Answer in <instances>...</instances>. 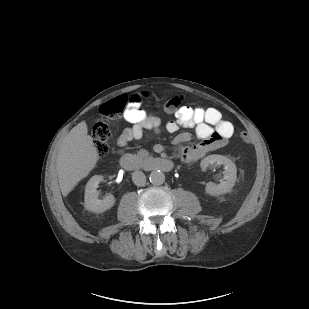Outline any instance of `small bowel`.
Listing matches in <instances>:
<instances>
[{
  "label": "small bowel",
  "instance_id": "1",
  "mask_svg": "<svg viewBox=\"0 0 309 309\" xmlns=\"http://www.w3.org/2000/svg\"><path fill=\"white\" fill-rule=\"evenodd\" d=\"M142 97L134 95L130 98L124 112V119L132 123L118 138V146L122 149L127 141L141 138L144 130L158 131L160 119L146 113L142 106ZM181 127L194 129L198 142L193 146H185L181 150V160L191 164L202 159L208 153L225 145L234 133V126L223 120L221 113L215 108L182 106L175 112V120L166 124L170 133L177 132ZM191 140L189 132L178 134L174 142L184 144Z\"/></svg>",
  "mask_w": 309,
  "mask_h": 309
}]
</instances>
